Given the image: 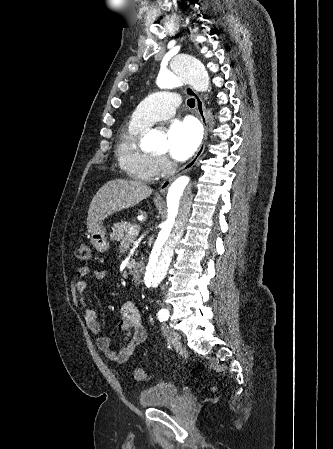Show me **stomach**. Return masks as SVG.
Instances as JSON below:
<instances>
[{
  "mask_svg": "<svg viewBox=\"0 0 333 449\" xmlns=\"http://www.w3.org/2000/svg\"><path fill=\"white\" fill-rule=\"evenodd\" d=\"M91 242L94 248L100 253H104L108 250L109 243L106 238V229L102 224H99L91 231Z\"/></svg>",
  "mask_w": 333,
  "mask_h": 449,
  "instance_id": "obj_1",
  "label": "stomach"
}]
</instances>
